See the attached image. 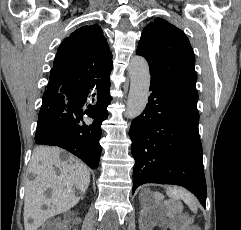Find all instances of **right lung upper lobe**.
Instances as JSON below:
<instances>
[{
  "instance_id": "obj_1",
  "label": "right lung upper lobe",
  "mask_w": 241,
  "mask_h": 230,
  "mask_svg": "<svg viewBox=\"0 0 241 230\" xmlns=\"http://www.w3.org/2000/svg\"><path fill=\"white\" fill-rule=\"evenodd\" d=\"M111 70L112 54L101 27L83 26L59 46L47 88L66 80H108Z\"/></svg>"
}]
</instances>
